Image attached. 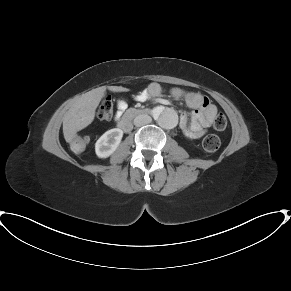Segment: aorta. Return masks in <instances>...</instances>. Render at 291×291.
<instances>
[{
  "label": "aorta",
  "instance_id": "1",
  "mask_svg": "<svg viewBox=\"0 0 291 291\" xmlns=\"http://www.w3.org/2000/svg\"><path fill=\"white\" fill-rule=\"evenodd\" d=\"M157 123L165 129H172L177 124V115L171 109H164L154 113Z\"/></svg>",
  "mask_w": 291,
  "mask_h": 291
}]
</instances>
